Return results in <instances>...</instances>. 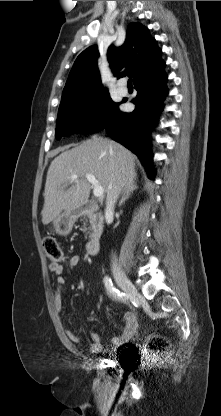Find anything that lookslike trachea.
Wrapping results in <instances>:
<instances>
[{
  "label": "trachea",
  "instance_id": "obj_1",
  "mask_svg": "<svg viewBox=\"0 0 221 416\" xmlns=\"http://www.w3.org/2000/svg\"><path fill=\"white\" fill-rule=\"evenodd\" d=\"M128 87H132V79L130 78L129 80H128Z\"/></svg>",
  "mask_w": 221,
  "mask_h": 416
}]
</instances>
